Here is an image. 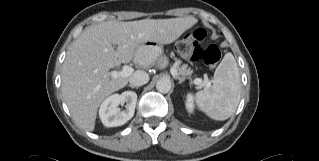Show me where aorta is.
Wrapping results in <instances>:
<instances>
[{
    "label": "aorta",
    "mask_w": 319,
    "mask_h": 161,
    "mask_svg": "<svg viewBox=\"0 0 319 161\" xmlns=\"http://www.w3.org/2000/svg\"><path fill=\"white\" fill-rule=\"evenodd\" d=\"M156 89L160 93H168L171 89V81L167 78H161L157 81Z\"/></svg>",
    "instance_id": "aorta-1"
}]
</instances>
